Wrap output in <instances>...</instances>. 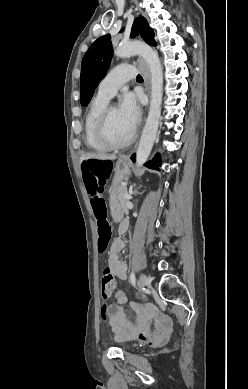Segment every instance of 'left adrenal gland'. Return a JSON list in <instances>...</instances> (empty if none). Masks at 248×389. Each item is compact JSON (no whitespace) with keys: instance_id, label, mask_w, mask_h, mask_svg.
<instances>
[{"instance_id":"1","label":"left adrenal gland","mask_w":248,"mask_h":389,"mask_svg":"<svg viewBox=\"0 0 248 389\" xmlns=\"http://www.w3.org/2000/svg\"><path fill=\"white\" fill-rule=\"evenodd\" d=\"M130 193H131V194H135V195H136V194L138 193V190L135 188V189H134V191H133V190H132V188H131V191H130Z\"/></svg>"}]
</instances>
